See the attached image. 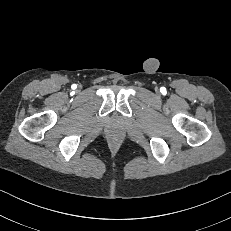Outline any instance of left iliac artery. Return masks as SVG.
<instances>
[{
    "mask_svg": "<svg viewBox=\"0 0 231 231\" xmlns=\"http://www.w3.org/2000/svg\"><path fill=\"white\" fill-rule=\"evenodd\" d=\"M164 91H165V88L163 87V88H162V92H164Z\"/></svg>",
    "mask_w": 231,
    "mask_h": 231,
    "instance_id": "1",
    "label": "left iliac artery"
}]
</instances>
